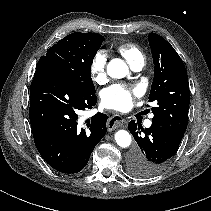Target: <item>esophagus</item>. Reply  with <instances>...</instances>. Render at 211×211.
I'll use <instances>...</instances> for the list:
<instances>
[{"mask_svg": "<svg viewBox=\"0 0 211 211\" xmlns=\"http://www.w3.org/2000/svg\"><path fill=\"white\" fill-rule=\"evenodd\" d=\"M125 120L120 115H113L107 121V129L108 131L115 130L119 127L124 126Z\"/></svg>", "mask_w": 211, "mask_h": 211, "instance_id": "obj_1", "label": "esophagus"}]
</instances>
